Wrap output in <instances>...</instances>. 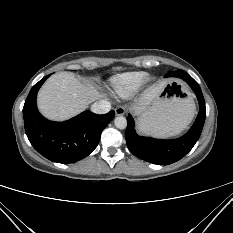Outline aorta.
<instances>
[{
    "label": "aorta",
    "mask_w": 233,
    "mask_h": 233,
    "mask_svg": "<svg viewBox=\"0 0 233 233\" xmlns=\"http://www.w3.org/2000/svg\"><path fill=\"white\" fill-rule=\"evenodd\" d=\"M114 124L118 129H125L127 127V120L123 116H118L115 118Z\"/></svg>",
    "instance_id": "1"
}]
</instances>
